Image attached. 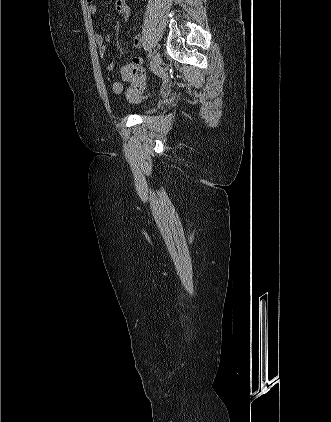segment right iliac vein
I'll return each mask as SVG.
<instances>
[{"label":"right iliac vein","mask_w":331,"mask_h":422,"mask_svg":"<svg viewBox=\"0 0 331 422\" xmlns=\"http://www.w3.org/2000/svg\"><path fill=\"white\" fill-rule=\"evenodd\" d=\"M160 62H161V57L159 53L156 52L153 56V61L150 64V70L151 71L157 70L160 65Z\"/></svg>","instance_id":"63e3f726"}]
</instances>
